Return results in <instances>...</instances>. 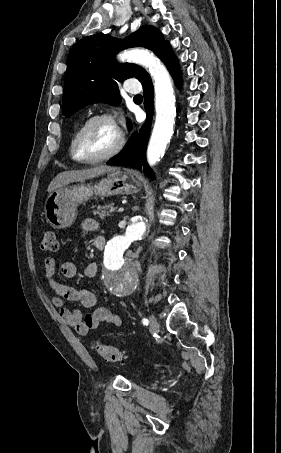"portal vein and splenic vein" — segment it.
Listing matches in <instances>:
<instances>
[{"mask_svg":"<svg viewBox=\"0 0 281 453\" xmlns=\"http://www.w3.org/2000/svg\"><path fill=\"white\" fill-rule=\"evenodd\" d=\"M124 209H125L124 207H121L118 209V212H122V211L124 212L125 211Z\"/></svg>","mask_w":281,"mask_h":453,"instance_id":"obj_1","label":"portal vein and splenic vein"}]
</instances>
